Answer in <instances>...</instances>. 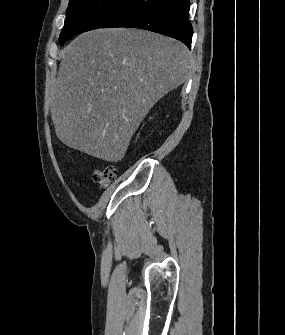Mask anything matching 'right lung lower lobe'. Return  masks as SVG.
Here are the masks:
<instances>
[{
    "label": "right lung lower lobe",
    "mask_w": 285,
    "mask_h": 335,
    "mask_svg": "<svg viewBox=\"0 0 285 335\" xmlns=\"http://www.w3.org/2000/svg\"><path fill=\"white\" fill-rule=\"evenodd\" d=\"M189 8V0H116L84 31L102 27L140 28L175 38L191 48Z\"/></svg>",
    "instance_id": "98d812e1"
}]
</instances>
